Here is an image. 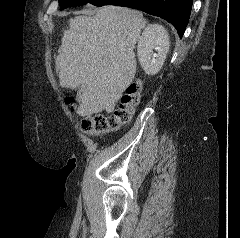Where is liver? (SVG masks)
<instances>
[{
	"label": "liver",
	"instance_id": "obj_1",
	"mask_svg": "<svg viewBox=\"0 0 240 238\" xmlns=\"http://www.w3.org/2000/svg\"><path fill=\"white\" fill-rule=\"evenodd\" d=\"M146 20L124 7L78 15L64 30L56 59L60 86L78 88L81 116L111 113L136 73L134 48Z\"/></svg>",
	"mask_w": 240,
	"mask_h": 238
}]
</instances>
